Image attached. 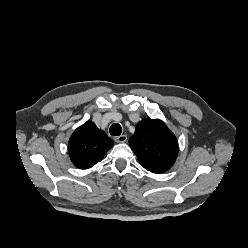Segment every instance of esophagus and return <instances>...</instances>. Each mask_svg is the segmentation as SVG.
I'll return each instance as SVG.
<instances>
[{
  "instance_id": "34e87169",
  "label": "esophagus",
  "mask_w": 248,
  "mask_h": 248,
  "mask_svg": "<svg viewBox=\"0 0 248 248\" xmlns=\"http://www.w3.org/2000/svg\"><path fill=\"white\" fill-rule=\"evenodd\" d=\"M114 140L117 143H124L127 141V136L123 134V135L115 137Z\"/></svg>"
}]
</instances>
